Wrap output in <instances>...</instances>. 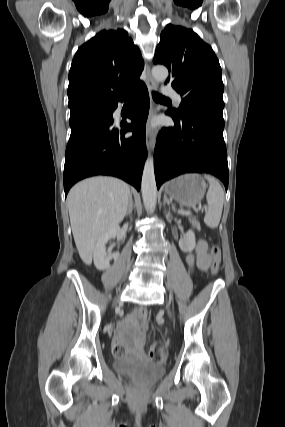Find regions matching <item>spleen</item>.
Returning <instances> with one entry per match:
<instances>
[{
	"mask_svg": "<svg viewBox=\"0 0 285 427\" xmlns=\"http://www.w3.org/2000/svg\"><path fill=\"white\" fill-rule=\"evenodd\" d=\"M205 178L209 182V189L206 195L208 211L204 217V222L208 227L216 228L219 225L222 215L224 192L214 177L205 175Z\"/></svg>",
	"mask_w": 285,
	"mask_h": 427,
	"instance_id": "obj_1",
	"label": "spleen"
}]
</instances>
